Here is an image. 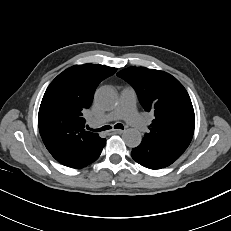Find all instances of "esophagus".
Listing matches in <instances>:
<instances>
[{
    "label": "esophagus",
    "instance_id": "1",
    "mask_svg": "<svg viewBox=\"0 0 231 231\" xmlns=\"http://www.w3.org/2000/svg\"><path fill=\"white\" fill-rule=\"evenodd\" d=\"M111 132L115 133V134H122L124 131L121 129H113V130H111Z\"/></svg>",
    "mask_w": 231,
    "mask_h": 231
}]
</instances>
